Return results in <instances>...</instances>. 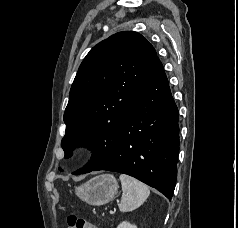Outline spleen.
<instances>
[{"label": "spleen", "instance_id": "obj_1", "mask_svg": "<svg viewBox=\"0 0 238 228\" xmlns=\"http://www.w3.org/2000/svg\"><path fill=\"white\" fill-rule=\"evenodd\" d=\"M119 179L123 191L120 211L130 212L140 207L150 195L148 186L126 174H121Z\"/></svg>", "mask_w": 238, "mask_h": 228}]
</instances>
